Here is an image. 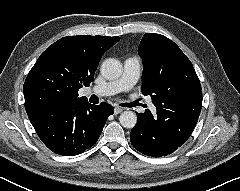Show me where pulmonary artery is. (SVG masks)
<instances>
[{
  "label": "pulmonary artery",
  "instance_id": "pulmonary-artery-1",
  "mask_svg": "<svg viewBox=\"0 0 240 191\" xmlns=\"http://www.w3.org/2000/svg\"><path fill=\"white\" fill-rule=\"evenodd\" d=\"M141 64L138 57H128L124 61L122 75L113 81L95 85L92 92L98 95L108 96L131 90L140 76ZM153 108V106H151Z\"/></svg>",
  "mask_w": 240,
  "mask_h": 191
}]
</instances>
